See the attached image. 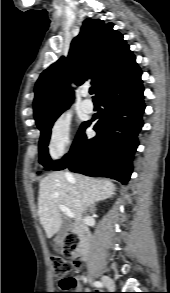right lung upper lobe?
<instances>
[{
	"label": "right lung upper lobe",
	"instance_id": "1",
	"mask_svg": "<svg viewBox=\"0 0 170 293\" xmlns=\"http://www.w3.org/2000/svg\"><path fill=\"white\" fill-rule=\"evenodd\" d=\"M137 66L123 35L113 23L86 19L80 34L71 43L68 57H61L42 72L35 85L34 118L38 128L51 123L74 98L70 82L77 85L90 79L96 93Z\"/></svg>",
	"mask_w": 170,
	"mask_h": 293
}]
</instances>
